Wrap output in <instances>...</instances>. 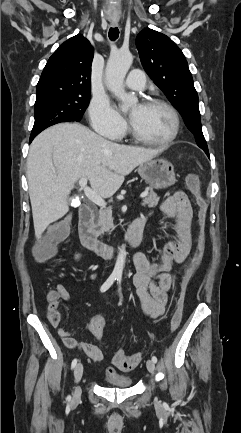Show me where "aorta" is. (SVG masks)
I'll return each instance as SVG.
<instances>
[{
	"mask_svg": "<svg viewBox=\"0 0 241 433\" xmlns=\"http://www.w3.org/2000/svg\"><path fill=\"white\" fill-rule=\"evenodd\" d=\"M133 57L128 51H117L110 55L106 70V84L108 89L122 102V110L127 111L138 102L134 94L126 93L124 89V78L132 64ZM126 257L125 246L119 248L118 256L114 266L113 274L122 276Z\"/></svg>",
	"mask_w": 241,
	"mask_h": 433,
	"instance_id": "1",
	"label": "aorta"
}]
</instances>
